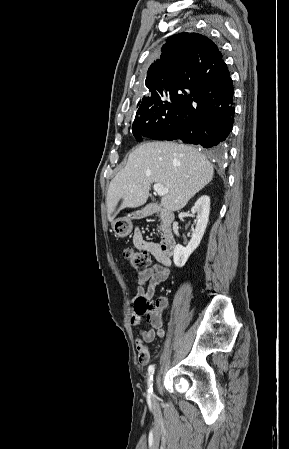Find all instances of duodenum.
<instances>
[{
  "label": "duodenum",
  "instance_id": "1",
  "mask_svg": "<svg viewBox=\"0 0 289 449\" xmlns=\"http://www.w3.org/2000/svg\"><path fill=\"white\" fill-rule=\"evenodd\" d=\"M145 213L147 215H158L163 223V233L159 243L160 250L166 256H171L175 250V237L172 231V223L174 221V213L166 208L157 205L149 206Z\"/></svg>",
  "mask_w": 289,
  "mask_h": 449
}]
</instances>
